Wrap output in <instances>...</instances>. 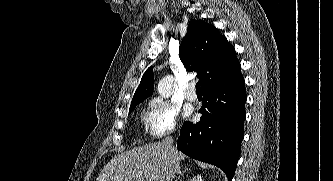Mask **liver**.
Returning <instances> with one entry per match:
<instances>
[{"label":"liver","instance_id":"liver-1","mask_svg":"<svg viewBox=\"0 0 333 181\" xmlns=\"http://www.w3.org/2000/svg\"><path fill=\"white\" fill-rule=\"evenodd\" d=\"M186 156L163 143L148 144L118 154L103 168L96 181H170Z\"/></svg>","mask_w":333,"mask_h":181}]
</instances>
